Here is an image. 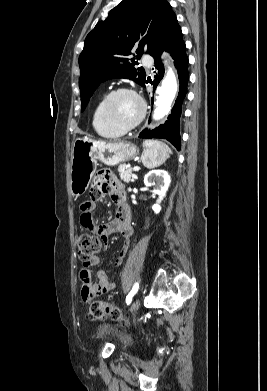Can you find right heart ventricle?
<instances>
[{
	"instance_id": "e07e8e85",
	"label": "right heart ventricle",
	"mask_w": 267,
	"mask_h": 391,
	"mask_svg": "<svg viewBox=\"0 0 267 391\" xmlns=\"http://www.w3.org/2000/svg\"><path fill=\"white\" fill-rule=\"evenodd\" d=\"M104 97H101L96 103L93 114H92V125L96 133L105 138H116L121 136L123 133L112 129L104 121L102 117V103Z\"/></svg>"
}]
</instances>
